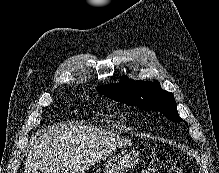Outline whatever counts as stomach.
I'll use <instances>...</instances> for the list:
<instances>
[{"label":"stomach","instance_id":"1","mask_svg":"<svg viewBox=\"0 0 219 173\" xmlns=\"http://www.w3.org/2000/svg\"><path fill=\"white\" fill-rule=\"evenodd\" d=\"M139 161L136 151L122 149L120 152L112 155L105 168V173H126L133 169Z\"/></svg>","mask_w":219,"mask_h":173}]
</instances>
